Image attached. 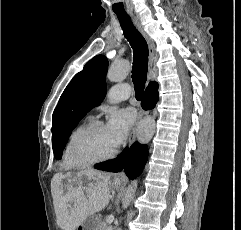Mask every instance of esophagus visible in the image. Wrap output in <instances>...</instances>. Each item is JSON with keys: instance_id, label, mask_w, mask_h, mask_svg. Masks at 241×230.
<instances>
[{"instance_id": "1", "label": "esophagus", "mask_w": 241, "mask_h": 230, "mask_svg": "<svg viewBox=\"0 0 241 230\" xmlns=\"http://www.w3.org/2000/svg\"><path fill=\"white\" fill-rule=\"evenodd\" d=\"M133 20H134V23L136 24L138 30L140 31V33L143 35V37L145 38L147 44H148V48H149V66L151 67L152 64H153V61L155 59V50H154V44L153 42L150 40V38L146 35V33L144 32L142 26L140 25L138 19L133 15L131 14ZM146 112L140 108L139 109V112H138V118H137V122L135 124V126L133 127L132 129V132L130 134V137H129V143H133L134 139H135V134H136V129H137V126L138 124L140 123V121L142 120V118L145 116ZM122 175L119 174V176Z\"/></svg>"}]
</instances>
